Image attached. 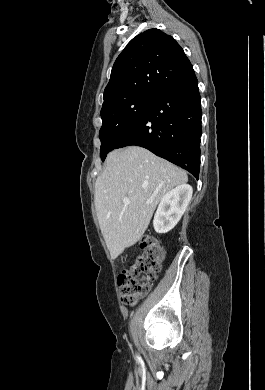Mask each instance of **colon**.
<instances>
[{"instance_id": "obj_1", "label": "colon", "mask_w": 265, "mask_h": 390, "mask_svg": "<svg viewBox=\"0 0 265 390\" xmlns=\"http://www.w3.org/2000/svg\"><path fill=\"white\" fill-rule=\"evenodd\" d=\"M141 253L118 277L121 300L125 304L135 303L145 296L161 269L164 251L160 240L146 235L140 241Z\"/></svg>"}]
</instances>
